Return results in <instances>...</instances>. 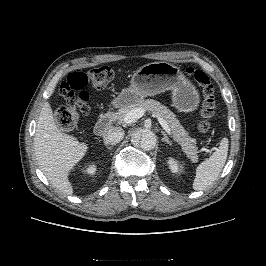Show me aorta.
<instances>
[{
  "mask_svg": "<svg viewBox=\"0 0 266 266\" xmlns=\"http://www.w3.org/2000/svg\"><path fill=\"white\" fill-rule=\"evenodd\" d=\"M132 142L139 145L143 150L149 151L155 148L157 139L152 131L144 130L141 133H135Z\"/></svg>",
  "mask_w": 266,
  "mask_h": 266,
  "instance_id": "obj_1",
  "label": "aorta"
}]
</instances>
